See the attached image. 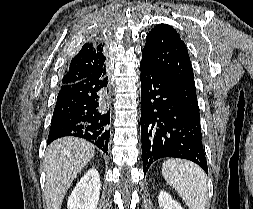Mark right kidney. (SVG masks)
I'll return each mask as SVG.
<instances>
[{"label":"right kidney","instance_id":"1","mask_svg":"<svg viewBox=\"0 0 253 209\" xmlns=\"http://www.w3.org/2000/svg\"><path fill=\"white\" fill-rule=\"evenodd\" d=\"M101 182L95 168L88 170L69 196L68 209H97Z\"/></svg>","mask_w":253,"mask_h":209}]
</instances>
